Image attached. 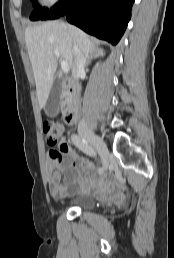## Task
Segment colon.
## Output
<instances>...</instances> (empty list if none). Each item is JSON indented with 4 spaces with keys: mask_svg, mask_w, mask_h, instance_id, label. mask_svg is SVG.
<instances>
[{
    "mask_svg": "<svg viewBox=\"0 0 174 258\" xmlns=\"http://www.w3.org/2000/svg\"><path fill=\"white\" fill-rule=\"evenodd\" d=\"M43 131L46 135L47 143L50 146H57L64 137L66 126L58 121H46L43 124ZM52 155L57 158L61 155V151L53 150Z\"/></svg>",
    "mask_w": 174,
    "mask_h": 258,
    "instance_id": "colon-1",
    "label": "colon"
}]
</instances>
